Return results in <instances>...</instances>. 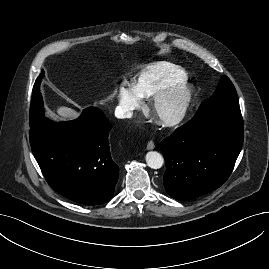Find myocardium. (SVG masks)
<instances>
[{
	"label": "myocardium",
	"instance_id": "obj_1",
	"mask_svg": "<svg viewBox=\"0 0 269 269\" xmlns=\"http://www.w3.org/2000/svg\"><path fill=\"white\" fill-rule=\"evenodd\" d=\"M175 101L176 109L168 116L159 114L162 104ZM192 102V89L186 83H179L171 86L155 95L149 102V112L162 127L170 128L179 125L186 117Z\"/></svg>",
	"mask_w": 269,
	"mask_h": 269
}]
</instances>
